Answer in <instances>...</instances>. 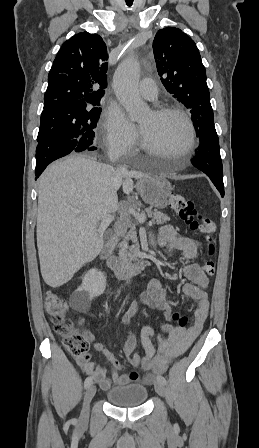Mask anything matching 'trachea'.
<instances>
[{"label": "trachea", "instance_id": "trachea-1", "mask_svg": "<svg viewBox=\"0 0 259 448\" xmlns=\"http://www.w3.org/2000/svg\"><path fill=\"white\" fill-rule=\"evenodd\" d=\"M125 1L128 6H131L133 4V0H125Z\"/></svg>", "mask_w": 259, "mask_h": 448}]
</instances>
